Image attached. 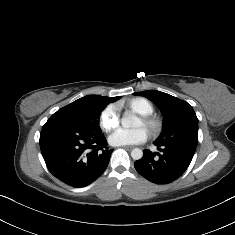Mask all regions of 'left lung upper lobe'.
I'll use <instances>...</instances> for the list:
<instances>
[{
    "label": "left lung upper lobe",
    "mask_w": 235,
    "mask_h": 235,
    "mask_svg": "<svg viewBox=\"0 0 235 235\" xmlns=\"http://www.w3.org/2000/svg\"><path fill=\"white\" fill-rule=\"evenodd\" d=\"M153 101L161 110L163 128L154 143H181L193 148L198 143V118L190 104L157 90L134 93Z\"/></svg>",
    "instance_id": "5c2ea615"
}]
</instances>
